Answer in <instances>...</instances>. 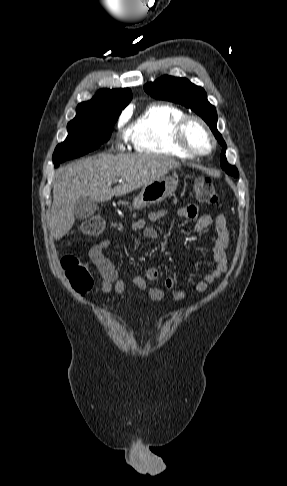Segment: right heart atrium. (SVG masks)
<instances>
[{
  "label": "right heart atrium",
  "instance_id": "right-heart-atrium-1",
  "mask_svg": "<svg viewBox=\"0 0 287 486\" xmlns=\"http://www.w3.org/2000/svg\"><path fill=\"white\" fill-rule=\"evenodd\" d=\"M124 123V116H122L119 121H118V125H122Z\"/></svg>",
  "mask_w": 287,
  "mask_h": 486
}]
</instances>
